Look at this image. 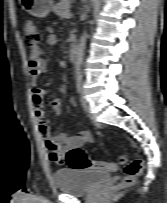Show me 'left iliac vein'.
<instances>
[{"label":"left iliac vein","mask_w":167,"mask_h":203,"mask_svg":"<svg viewBox=\"0 0 167 203\" xmlns=\"http://www.w3.org/2000/svg\"><path fill=\"white\" fill-rule=\"evenodd\" d=\"M81 105L85 112H90V104L84 97L81 98Z\"/></svg>","instance_id":"1"}]
</instances>
